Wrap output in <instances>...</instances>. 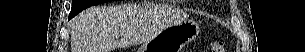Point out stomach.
<instances>
[{
	"label": "stomach",
	"instance_id": "1",
	"mask_svg": "<svg viewBox=\"0 0 305 52\" xmlns=\"http://www.w3.org/2000/svg\"><path fill=\"white\" fill-rule=\"evenodd\" d=\"M199 25L184 20L161 30L154 38L145 42L138 52H181L199 35Z\"/></svg>",
	"mask_w": 305,
	"mask_h": 52
}]
</instances>
